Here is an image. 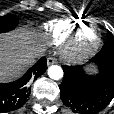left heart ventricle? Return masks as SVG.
Returning a JSON list of instances; mask_svg holds the SVG:
<instances>
[{
	"label": "left heart ventricle",
	"mask_w": 114,
	"mask_h": 114,
	"mask_svg": "<svg viewBox=\"0 0 114 114\" xmlns=\"http://www.w3.org/2000/svg\"><path fill=\"white\" fill-rule=\"evenodd\" d=\"M94 38H95L94 28L89 24L84 25L79 32L80 42L87 44V43L92 42L94 40Z\"/></svg>",
	"instance_id": "1"
}]
</instances>
